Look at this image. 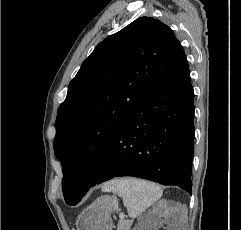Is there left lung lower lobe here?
I'll use <instances>...</instances> for the list:
<instances>
[{"label": "left lung lower lobe", "instance_id": "obj_1", "mask_svg": "<svg viewBox=\"0 0 241 230\" xmlns=\"http://www.w3.org/2000/svg\"><path fill=\"white\" fill-rule=\"evenodd\" d=\"M194 91L186 56L135 109L116 136L84 163L88 184L134 176L191 193Z\"/></svg>", "mask_w": 241, "mask_h": 230}]
</instances>
